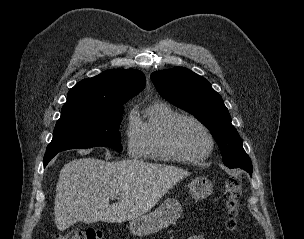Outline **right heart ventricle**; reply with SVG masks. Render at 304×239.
<instances>
[{"mask_svg":"<svg viewBox=\"0 0 304 239\" xmlns=\"http://www.w3.org/2000/svg\"><path fill=\"white\" fill-rule=\"evenodd\" d=\"M181 115L169 104L156 101L149 104L143 118L137 119L142 149L140 156L155 161H176L165 145V133L170 122Z\"/></svg>","mask_w":304,"mask_h":239,"instance_id":"right-heart-ventricle-1","label":"right heart ventricle"}]
</instances>
